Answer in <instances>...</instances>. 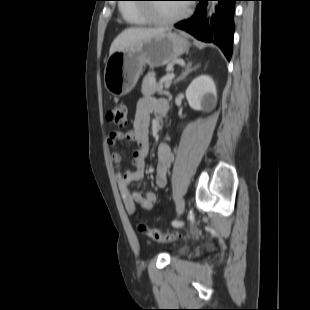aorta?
<instances>
[{
	"label": "aorta",
	"instance_id": "obj_1",
	"mask_svg": "<svg viewBox=\"0 0 310 310\" xmlns=\"http://www.w3.org/2000/svg\"><path fill=\"white\" fill-rule=\"evenodd\" d=\"M214 5H215V3L213 2V3H212V5H211V9H213V8H214Z\"/></svg>",
	"mask_w": 310,
	"mask_h": 310
}]
</instances>
